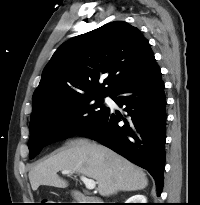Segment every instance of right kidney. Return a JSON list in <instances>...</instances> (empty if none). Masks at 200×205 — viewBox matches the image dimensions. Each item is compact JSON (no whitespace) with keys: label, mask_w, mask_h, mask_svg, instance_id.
Instances as JSON below:
<instances>
[{"label":"right kidney","mask_w":200,"mask_h":205,"mask_svg":"<svg viewBox=\"0 0 200 205\" xmlns=\"http://www.w3.org/2000/svg\"><path fill=\"white\" fill-rule=\"evenodd\" d=\"M125 203H147V198L144 195H134L130 198Z\"/></svg>","instance_id":"1"}]
</instances>
